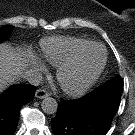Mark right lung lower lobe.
<instances>
[{
    "mask_svg": "<svg viewBox=\"0 0 135 135\" xmlns=\"http://www.w3.org/2000/svg\"><path fill=\"white\" fill-rule=\"evenodd\" d=\"M36 87L17 85L0 96V135H13L16 131L20 108L33 100Z\"/></svg>",
    "mask_w": 135,
    "mask_h": 135,
    "instance_id": "98d812e1",
    "label": "right lung lower lobe"
}]
</instances>
